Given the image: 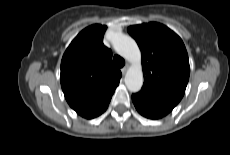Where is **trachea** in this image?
<instances>
[{"label":"trachea","instance_id":"1","mask_svg":"<svg viewBox=\"0 0 230 155\" xmlns=\"http://www.w3.org/2000/svg\"><path fill=\"white\" fill-rule=\"evenodd\" d=\"M113 62L118 68H122L125 65V60L119 55H115L113 57Z\"/></svg>","mask_w":230,"mask_h":155}]
</instances>
